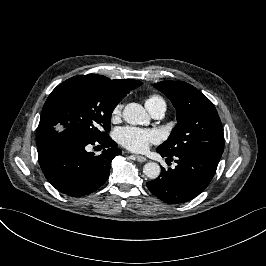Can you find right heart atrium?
<instances>
[{"mask_svg": "<svg viewBox=\"0 0 266 266\" xmlns=\"http://www.w3.org/2000/svg\"><path fill=\"white\" fill-rule=\"evenodd\" d=\"M124 104L123 102H118L116 103L110 113L111 119L116 120L119 119L122 115Z\"/></svg>", "mask_w": 266, "mask_h": 266, "instance_id": "right-heart-atrium-1", "label": "right heart atrium"}]
</instances>
